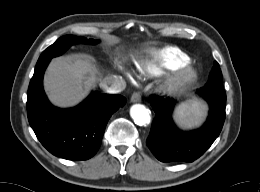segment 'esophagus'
I'll return each instance as SVG.
<instances>
[{"mask_svg": "<svg viewBox=\"0 0 260 192\" xmlns=\"http://www.w3.org/2000/svg\"><path fill=\"white\" fill-rule=\"evenodd\" d=\"M130 101H131L132 103L140 102V101H141V95H140V93H139V92H134V93L132 94V96H131Z\"/></svg>", "mask_w": 260, "mask_h": 192, "instance_id": "esophagus-1", "label": "esophagus"}]
</instances>
